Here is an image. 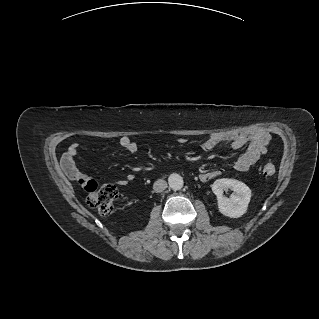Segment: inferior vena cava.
<instances>
[{"instance_id": "602c4592", "label": "inferior vena cava", "mask_w": 319, "mask_h": 319, "mask_svg": "<svg viewBox=\"0 0 319 319\" xmlns=\"http://www.w3.org/2000/svg\"><path fill=\"white\" fill-rule=\"evenodd\" d=\"M167 188V182L163 179H158L153 184V189L155 192L160 193Z\"/></svg>"}]
</instances>
